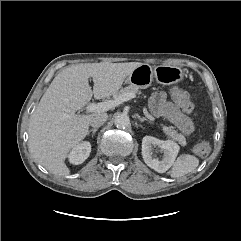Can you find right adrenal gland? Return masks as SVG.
Wrapping results in <instances>:
<instances>
[{"label": "right adrenal gland", "instance_id": "2a0ac1e0", "mask_svg": "<svg viewBox=\"0 0 241 241\" xmlns=\"http://www.w3.org/2000/svg\"><path fill=\"white\" fill-rule=\"evenodd\" d=\"M98 130V128H93V129H90L87 133V135H90V133H93L95 135L96 131Z\"/></svg>", "mask_w": 241, "mask_h": 241}]
</instances>
